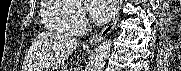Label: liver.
Segmentation results:
<instances>
[{"instance_id": "6515ba94", "label": "liver", "mask_w": 181, "mask_h": 71, "mask_svg": "<svg viewBox=\"0 0 181 71\" xmlns=\"http://www.w3.org/2000/svg\"><path fill=\"white\" fill-rule=\"evenodd\" d=\"M76 47L77 40L73 37L52 32L41 33L28 52L24 69L42 71L44 68L61 64Z\"/></svg>"}]
</instances>
